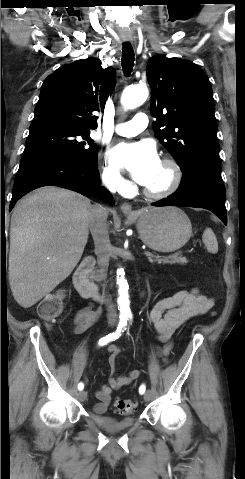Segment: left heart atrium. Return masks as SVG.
I'll return each instance as SVG.
<instances>
[{
    "label": "left heart atrium",
    "instance_id": "obj_1",
    "mask_svg": "<svg viewBox=\"0 0 245 479\" xmlns=\"http://www.w3.org/2000/svg\"><path fill=\"white\" fill-rule=\"evenodd\" d=\"M110 158L122 167L133 162L132 177L143 186L150 183L161 163L155 147L148 141L121 143L111 150Z\"/></svg>",
    "mask_w": 245,
    "mask_h": 479
}]
</instances>
